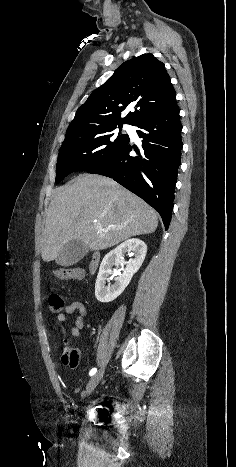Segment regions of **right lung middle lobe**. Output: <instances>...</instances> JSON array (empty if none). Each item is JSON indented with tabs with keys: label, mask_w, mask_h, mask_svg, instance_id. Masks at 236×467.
<instances>
[{
	"label": "right lung middle lobe",
	"mask_w": 236,
	"mask_h": 467,
	"mask_svg": "<svg viewBox=\"0 0 236 467\" xmlns=\"http://www.w3.org/2000/svg\"><path fill=\"white\" fill-rule=\"evenodd\" d=\"M115 129L112 125L65 137L60 148L56 165V180L58 184L68 174L75 171H87L113 156L128 141L129 136Z\"/></svg>",
	"instance_id": "obj_1"
}]
</instances>
